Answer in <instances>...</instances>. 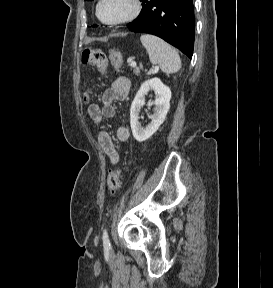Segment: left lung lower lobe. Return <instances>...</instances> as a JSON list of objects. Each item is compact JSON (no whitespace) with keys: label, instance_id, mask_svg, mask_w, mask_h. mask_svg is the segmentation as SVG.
Listing matches in <instances>:
<instances>
[{"label":"left lung lower lobe","instance_id":"left-lung-lower-lobe-1","mask_svg":"<svg viewBox=\"0 0 273 288\" xmlns=\"http://www.w3.org/2000/svg\"><path fill=\"white\" fill-rule=\"evenodd\" d=\"M140 15L127 25L133 32L156 35L190 59L194 46L193 0H141Z\"/></svg>","mask_w":273,"mask_h":288}]
</instances>
